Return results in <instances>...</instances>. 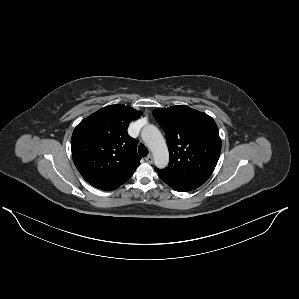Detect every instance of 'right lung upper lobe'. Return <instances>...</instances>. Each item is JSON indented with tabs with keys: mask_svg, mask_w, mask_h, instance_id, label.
Returning <instances> with one entry per match:
<instances>
[{
	"mask_svg": "<svg viewBox=\"0 0 299 299\" xmlns=\"http://www.w3.org/2000/svg\"><path fill=\"white\" fill-rule=\"evenodd\" d=\"M141 114L131 107L110 105L76 126L71 139L72 157L89 184L107 189L125 183L133 175L141 158L127 128Z\"/></svg>",
	"mask_w": 299,
	"mask_h": 299,
	"instance_id": "1",
	"label": "right lung upper lobe"
}]
</instances>
